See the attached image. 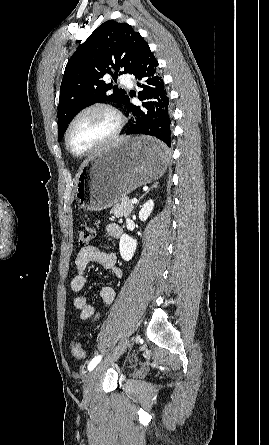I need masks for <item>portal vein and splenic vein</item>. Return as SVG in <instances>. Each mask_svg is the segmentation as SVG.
I'll use <instances>...</instances> for the list:
<instances>
[{"instance_id": "portal-vein-and-splenic-vein-1", "label": "portal vein and splenic vein", "mask_w": 269, "mask_h": 445, "mask_svg": "<svg viewBox=\"0 0 269 445\" xmlns=\"http://www.w3.org/2000/svg\"><path fill=\"white\" fill-rule=\"evenodd\" d=\"M131 202H132L133 204H135V203H137V199L134 198V199L131 200Z\"/></svg>"}]
</instances>
